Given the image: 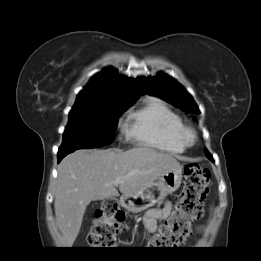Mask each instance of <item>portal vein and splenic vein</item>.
Listing matches in <instances>:
<instances>
[{
  "label": "portal vein and splenic vein",
  "instance_id": "obj_1",
  "mask_svg": "<svg viewBox=\"0 0 261 261\" xmlns=\"http://www.w3.org/2000/svg\"><path fill=\"white\" fill-rule=\"evenodd\" d=\"M123 179H124V178H117L116 180H114V181L112 182V184L115 185V186H117L119 183L122 182Z\"/></svg>",
  "mask_w": 261,
  "mask_h": 261
}]
</instances>
